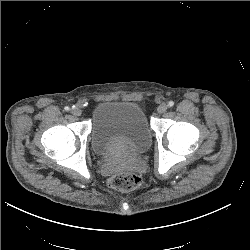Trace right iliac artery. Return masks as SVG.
Masks as SVG:
<instances>
[{"label": "right iliac artery", "mask_w": 250, "mask_h": 250, "mask_svg": "<svg viewBox=\"0 0 250 250\" xmlns=\"http://www.w3.org/2000/svg\"><path fill=\"white\" fill-rule=\"evenodd\" d=\"M64 109H65L66 111H69V110H70V107L66 106V107H64Z\"/></svg>", "instance_id": "1"}]
</instances>
